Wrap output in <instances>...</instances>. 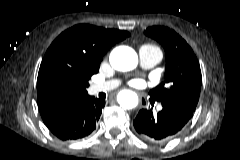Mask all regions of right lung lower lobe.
<instances>
[{"mask_svg":"<svg viewBox=\"0 0 240 160\" xmlns=\"http://www.w3.org/2000/svg\"><path fill=\"white\" fill-rule=\"evenodd\" d=\"M104 99L88 93L74 99L54 98L39 106L43 122L63 141L78 140L88 136L98 122Z\"/></svg>","mask_w":240,"mask_h":160,"instance_id":"1","label":"right lung lower lobe"}]
</instances>
